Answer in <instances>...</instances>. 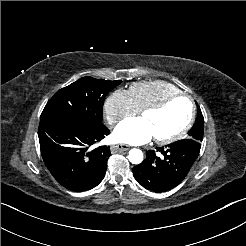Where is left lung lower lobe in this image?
Returning a JSON list of instances; mask_svg holds the SVG:
<instances>
[{"label": "left lung lower lobe", "mask_w": 246, "mask_h": 246, "mask_svg": "<svg viewBox=\"0 0 246 246\" xmlns=\"http://www.w3.org/2000/svg\"><path fill=\"white\" fill-rule=\"evenodd\" d=\"M200 148V142L184 139L165 147H157L156 151L149 150L146 159L133 168L134 177L150 191L166 192L186 177Z\"/></svg>", "instance_id": "0a47b994"}]
</instances>
